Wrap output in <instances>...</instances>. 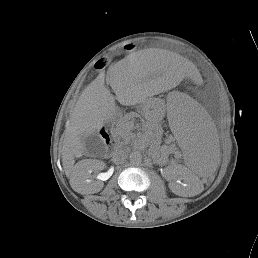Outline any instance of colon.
Wrapping results in <instances>:
<instances>
[{"mask_svg":"<svg viewBox=\"0 0 258 258\" xmlns=\"http://www.w3.org/2000/svg\"><path fill=\"white\" fill-rule=\"evenodd\" d=\"M100 66L104 67L107 64V59L106 58H102L101 60H99Z\"/></svg>","mask_w":258,"mask_h":258,"instance_id":"5ec220e1","label":"colon"}]
</instances>
